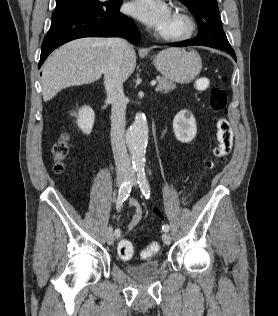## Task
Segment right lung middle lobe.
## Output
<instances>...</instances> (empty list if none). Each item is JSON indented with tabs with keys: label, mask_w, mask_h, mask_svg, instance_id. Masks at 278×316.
<instances>
[{
	"label": "right lung middle lobe",
	"mask_w": 278,
	"mask_h": 316,
	"mask_svg": "<svg viewBox=\"0 0 278 316\" xmlns=\"http://www.w3.org/2000/svg\"><path fill=\"white\" fill-rule=\"evenodd\" d=\"M98 1L99 0H57L55 10L66 9L76 5Z\"/></svg>",
	"instance_id": "dd1d6c3e"
}]
</instances>
